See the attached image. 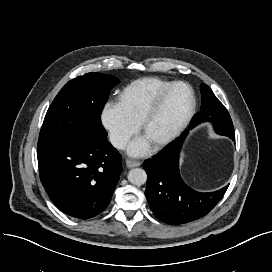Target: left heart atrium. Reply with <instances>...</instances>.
I'll return each mask as SVG.
<instances>
[{
	"label": "left heart atrium",
	"mask_w": 272,
	"mask_h": 272,
	"mask_svg": "<svg viewBox=\"0 0 272 272\" xmlns=\"http://www.w3.org/2000/svg\"><path fill=\"white\" fill-rule=\"evenodd\" d=\"M149 144L145 139H137L129 146V153L134 156H141L148 151Z\"/></svg>",
	"instance_id": "obj_1"
}]
</instances>
